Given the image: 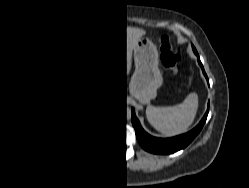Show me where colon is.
<instances>
[{
    "mask_svg": "<svg viewBox=\"0 0 249 188\" xmlns=\"http://www.w3.org/2000/svg\"><path fill=\"white\" fill-rule=\"evenodd\" d=\"M161 62L172 73L179 72L183 63L182 49L177 46L170 37H160Z\"/></svg>",
    "mask_w": 249,
    "mask_h": 188,
    "instance_id": "obj_1",
    "label": "colon"
}]
</instances>
